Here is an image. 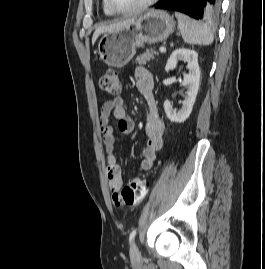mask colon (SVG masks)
<instances>
[{
	"mask_svg": "<svg viewBox=\"0 0 265 269\" xmlns=\"http://www.w3.org/2000/svg\"><path fill=\"white\" fill-rule=\"evenodd\" d=\"M99 87L102 92L110 96H116L120 92L119 73L116 70H108L100 79ZM147 190V184L143 179L130 180L120 191L118 203L120 205L133 206L141 202Z\"/></svg>",
	"mask_w": 265,
	"mask_h": 269,
	"instance_id": "5ec220e1",
	"label": "colon"
}]
</instances>
